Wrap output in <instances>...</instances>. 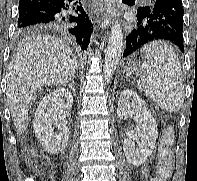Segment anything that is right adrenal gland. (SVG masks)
I'll return each instance as SVG.
<instances>
[{
	"label": "right adrenal gland",
	"mask_w": 197,
	"mask_h": 181,
	"mask_svg": "<svg viewBox=\"0 0 197 181\" xmlns=\"http://www.w3.org/2000/svg\"><path fill=\"white\" fill-rule=\"evenodd\" d=\"M68 87L72 90V92L74 93V96H76V84L73 79L68 84Z\"/></svg>",
	"instance_id": "2a0ac1e0"
}]
</instances>
